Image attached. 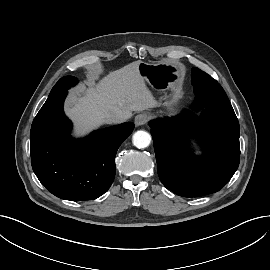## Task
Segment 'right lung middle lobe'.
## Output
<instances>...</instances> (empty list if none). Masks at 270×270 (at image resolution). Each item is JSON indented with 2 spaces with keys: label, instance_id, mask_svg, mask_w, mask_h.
<instances>
[{
  "label": "right lung middle lobe",
  "instance_id": "dd1d6c3e",
  "mask_svg": "<svg viewBox=\"0 0 270 270\" xmlns=\"http://www.w3.org/2000/svg\"><path fill=\"white\" fill-rule=\"evenodd\" d=\"M78 80L73 76H66L61 78L52 88L50 95H55L67 91L71 86L77 84Z\"/></svg>",
  "mask_w": 270,
  "mask_h": 270
}]
</instances>
